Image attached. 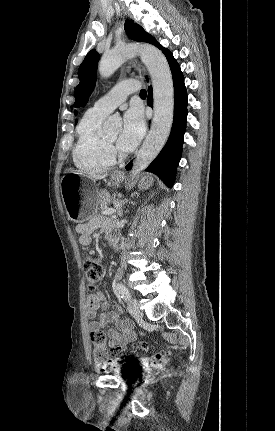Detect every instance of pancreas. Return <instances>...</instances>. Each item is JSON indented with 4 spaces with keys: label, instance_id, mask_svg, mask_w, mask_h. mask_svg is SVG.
Returning a JSON list of instances; mask_svg holds the SVG:
<instances>
[{
    "label": "pancreas",
    "instance_id": "obj_1",
    "mask_svg": "<svg viewBox=\"0 0 275 431\" xmlns=\"http://www.w3.org/2000/svg\"><path fill=\"white\" fill-rule=\"evenodd\" d=\"M98 204L102 210H105L110 202V197L107 191L102 190L98 196Z\"/></svg>",
    "mask_w": 275,
    "mask_h": 431
}]
</instances>
